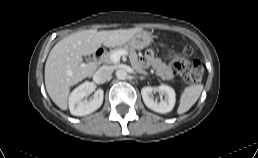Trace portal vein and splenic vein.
Wrapping results in <instances>:
<instances>
[{
    "label": "portal vein and splenic vein",
    "mask_w": 258,
    "mask_h": 158,
    "mask_svg": "<svg viewBox=\"0 0 258 158\" xmlns=\"http://www.w3.org/2000/svg\"><path fill=\"white\" fill-rule=\"evenodd\" d=\"M126 54H127V52L124 51V50H120V51H118V52H114V53L111 55V61H112L113 63H117V62L120 61L121 56H124V55H126Z\"/></svg>",
    "instance_id": "1"
}]
</instances>
